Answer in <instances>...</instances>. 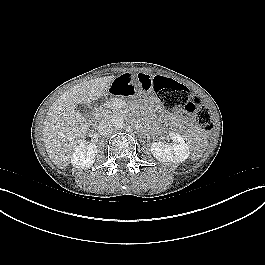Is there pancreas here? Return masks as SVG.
<instances>
[{
    "label": "pancreas",
    "instance_id": "obj_1",
    "mask_svg": "<svg viewBox=\"0 0 265 265\" xmlns=\"http://www.w3.org/2000/svg\"><path fill=\"white\" fill-rule=\"evenodd\" d=\"M114 102H115V100L112 99L104 107H102L100 109V114L103 117H110L116 113L121 112V110L119 108L115 107ZM116 115H120V114H116ZM116 115H114V116H116Z\"/></svg>",
    "mask_w": 265,
    "mask_h": 265
}]
</instances>
